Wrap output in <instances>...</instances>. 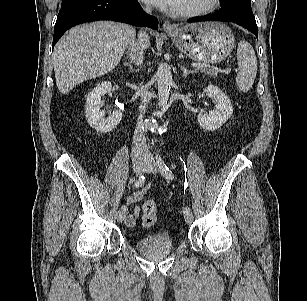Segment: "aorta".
<instances>
[{
    "mask_svg": "<svg viewBox=\"0 0 307 301\" xmlns=\"http://www.w3.org/2000/svg\"><path fill=\"white\" fill-rule=\"evenodd\" d=\"M158 83L159 107L163 109L168 102L171 85L173 83L171 68L167 63H161L156 72Z\"/></svg>",
    "mask_w": 307,
    "mask_h": 301,
    "instance_id": "762f6f07",
    "label": "aorta"
}]
</instances>
